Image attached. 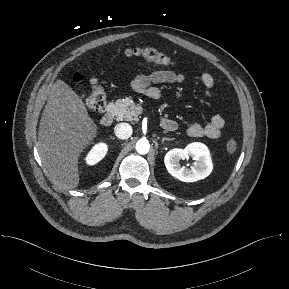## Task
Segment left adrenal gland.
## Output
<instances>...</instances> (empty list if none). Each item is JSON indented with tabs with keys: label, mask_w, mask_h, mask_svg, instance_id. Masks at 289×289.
I'll list each match as a JSON object with an SVG mask.
<instances>
[{
	"label": "left adrenal gland",
	"mask_w": 289,
	"mask_h": 289,
	"mask_svg": "<svg viewBox=\"0 0 289 289\" xmlns=\"http://www.w3.org/2000/svg\"><path fill=\"white\" fill-rule=\"evenodd\" d=\"M169 140H171V139H170V138H163L162 143H163L164 141H169Z\"/></svg>",
	"instance_id": "a2214340"
}]
</instances>
